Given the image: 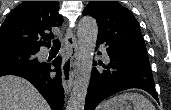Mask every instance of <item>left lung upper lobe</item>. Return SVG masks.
Wrapping results in <instances>:
<instances>
[{"mask_svg":"<svg viewBox=\"0 0 171 110\" xmlns=\"http://www.w3.org/2000/svg\"><path fill=\"white\" fill-rule=\"evenodd\" d=\"M83 14L97 20V39L122 52L148 59L139 24L129 9L117 1H90Z\"/></svg>","mask_w":171,"mask_h":110,"instance_id":"left-lung-upper-lobe-1","label":"left lung upper lobe"}]
</instances>
